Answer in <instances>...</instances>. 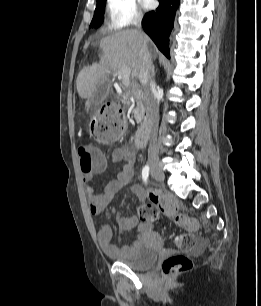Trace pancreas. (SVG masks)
<instances>
[{"instance_id":"cf45deb5","label":"pancreas","mask_w":261,"mask_h":306,"mask_svg":"<svg viewBox=\"0 0 261 306\" xmlns=\"http://www.w3.org/2000/svg\"><path fill=\"white\" fill-rule=\"evenodd\" d=\"M137 105L136 107L132 110L134 118L137 123H140L142 119L144 118V102L142 100H136Z\"/></svg>"}]
</instances>
